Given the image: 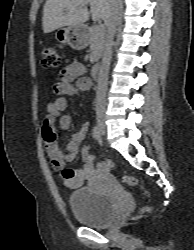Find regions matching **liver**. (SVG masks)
<instances>
[{
	"instance_id": "liver-1",
	"label": "liver",
	"mask_w": 194,
	"mask_h": 250,
	"mask_svg": "<svg viewBox=\"0 0 194 250\" xmlns=\"http://www.w3.org/2000/svg\"><path fill=\"white\" fill-rule=\"evenodd\" d=\"M112 0H47L43 8L42 27L50 33L64 26L82 25L89 19L107 20ZM90 4L91 11L86 8Z\"/></svg>"
}]
</instances>
